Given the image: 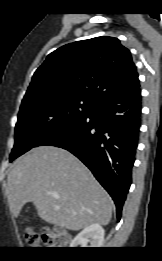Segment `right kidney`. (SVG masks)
<instances>
[{"instance_id": "ca27d5eb", "label": "right kidney", "mask_w": 162, "mask_h": 261, "mask_svg": "<svg viewBox=\"0 0 162 261\" xmlns=\"http://www.w3.org/2000/svg\"><path fill=\"white\" fill-rule=\"evenodd\" d=\"M104 229L100 224H92L82 230L70 243L71 248L87 247L100 248L104 241Z\"/></svg>"}]
</instances>
